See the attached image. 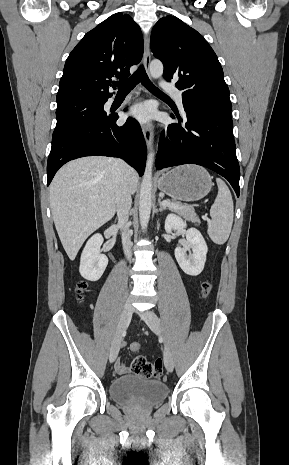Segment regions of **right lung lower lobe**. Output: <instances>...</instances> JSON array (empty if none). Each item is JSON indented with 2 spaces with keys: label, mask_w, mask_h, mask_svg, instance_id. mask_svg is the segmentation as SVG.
I'll list each match as a JSON object with an SVG mask.
<instances>
[{
  "label": "right lung lower lobe",
  "mask_w": 289,
  "mask_h": 465,
  "mask_svg": "<svg viewBox=\"0 0 289 465\" xmlns=\"http://www.w3.org/2000/svg\"><path fill=\"white\" fill-rule=\"evenodd\" d=\"M117 114L78 126L52 139L47 162V185L57 170L66 162L84 156H111L124 159L143 175L146 163V144L137 121L128 118L117 126Z\"/></svg>",
  "instance_id": "1"
}]
</instances>
